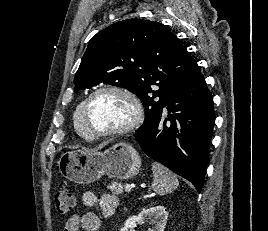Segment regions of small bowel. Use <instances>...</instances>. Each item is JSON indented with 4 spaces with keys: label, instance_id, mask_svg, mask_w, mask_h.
Masks as SVG:
<instances>
[{
    "label": "small bowel",
    "instance_id": "obj_1",
    "mask_svg": "<svg viewBox=\"0 0 268 231\" xmlns=\"http://www.w3.org/2000/svg\"><path fill=\"white\" fill-rule=\"evenodd\" d=\"M81 202L87 207L98 205L102 216L94 212L73 215L66 222L63 231H97L101 226L102 217H111L118 208V199L111 194H104L98 199L93 192L85 191L81 195Z\"/></svg>",
    "mask_w": 268,
    "mask_h": 231
}]
</instances>
